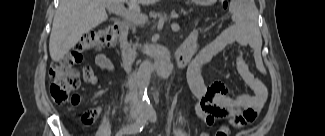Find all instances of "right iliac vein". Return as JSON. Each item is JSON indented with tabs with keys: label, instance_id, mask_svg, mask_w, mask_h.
I'll list each match as a JSON object with an SVG mask.
<instances>
[{
	"label": "right iliac vein",
	"instance_id": "63e3f726",
	"mask_svg": "<svg viewBox=\"0 0 325 136\" xmlns=\"http://www.w3.org/2000/svg\"><path fill=\"white\" fill-rule=\"evenodd\" d=\"M129 127H130L129 124L122 126L121 129L118 131V133H124Z\"/></svg>",
	"mask_w": 325,
	"mask_h": 136
}]
</instances>
